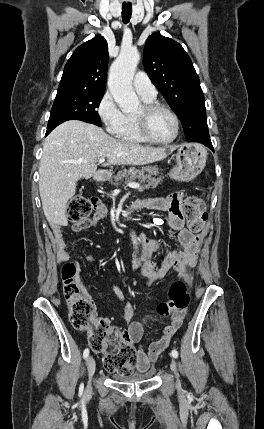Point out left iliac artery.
<instances>
[{"label": "left iliac artery", "mask_w": 264, "mask_h": 429, "mask_svg": "<svg viewBox=\"0 0 264 429\" xmlns=\"http://www.w3.org/2000/svg\"><path fill=\"white\" fill-rule=\"evenodd\" d=\"M171 355H172L174 358H177V357H178V351H176V350H172Z\"/></svg>", "instance_id": "left-iliac-artery-1"}]
</instances>
